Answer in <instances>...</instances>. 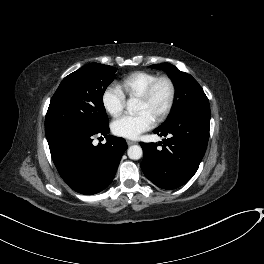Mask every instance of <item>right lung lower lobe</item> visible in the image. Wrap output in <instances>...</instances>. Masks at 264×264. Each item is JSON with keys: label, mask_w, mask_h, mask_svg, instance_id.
<instances>
[{"label": "right lung lower lobe", "mask_w": 264, "mask_h": 264, "mask_svg": "<svg viewBox=\"0 0 264 264\" xmlns=\"http://www.w3.org/2000/svg\"><path fill=\"white\" fill-rule=\"evenodd\" d=\"M108 124L96 131L64 128L46 134L53 162L74 191L92 195L104 190L113 180L120 159L128 148L125 139L107 136ZM104 135L107 142L92 144L94 135Z\"/></svg>", "instance_id": "98d812e1"}]
</instances>
